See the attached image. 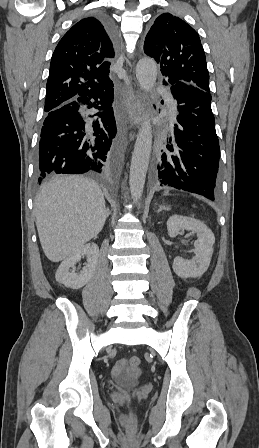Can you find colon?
I'll list each match as a JSON object with an SVG mask.
<instances>
[{
  "label": "colon",
  "mask_w": 259,
  "mask_h": 448,
  "mask_svg": "<svg viewBox=\"0 0 259 448\" xmlns=\"http://www.w3.org/2000/svg\"><path fill=\"white\" fill-rule=\"evenodd\" d=\"M128 362H129V366L132 369H137L140 366V363H141L139 357H137V356L130 357ZM133 427H134V416L131 415L130 418H129V428L133 429Z\"/></svg>",
  "instance_id": "1"
}]
</instances>
